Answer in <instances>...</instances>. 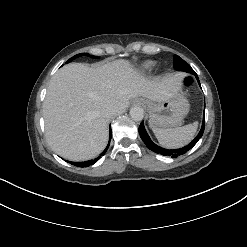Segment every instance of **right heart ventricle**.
Returning a JSON list of instances; mask_svg holds the SVG:
<instances>
[{"mask_svg":"<svg viewBox=\"0 0 247 247\" xmlns=\"http://www.w3.org/2000/svg\"><path fill=\"white\" fill-rule=\"evenodd\" d=\"M154 66L153 62H146L142 65L141 69L143 72H148L150 71Z\"/></svg>","mask_w":247,"mask_h":247,"instance_id":"obj_1","label":"right heart ventricle"}]
</instances>
